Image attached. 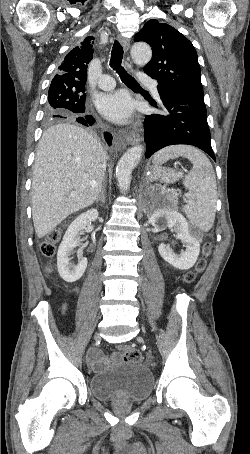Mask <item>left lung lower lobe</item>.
I'll return each instance as SVG.
<instances>
[{"mask_svg":"<svg viewBox=\"0 0 250 454\" xmlns=\"http://www.w3.org/2000/svg\"><path fill=\"white\" fill-rule=\"evenodd\" d=\"M158 92L162 100L159 108L163 113L145 118V157L149 158L169 145L187 144L202 149L216 160L210 143L203 93L162 89Z\"/></svg>","mask_w":250,"mask_h":454,"instance_id":"1","label":"left lung lower lobe"}]
</instances>
